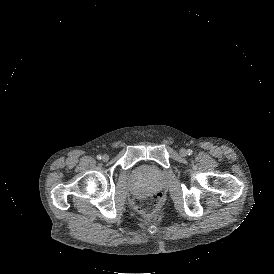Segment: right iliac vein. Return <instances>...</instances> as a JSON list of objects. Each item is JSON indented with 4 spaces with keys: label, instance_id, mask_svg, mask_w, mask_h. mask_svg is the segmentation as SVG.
<instances>
[{
    "label": "right iliac vein",
    "instance_id": "right-iliac-vein-1",
    "mask_svg": "<svg viewBox=\"0 0 274 274\" xmlns=\"http://www.w3.org/2000/svg\"><path fill=\"white\" fill-rule=\"evenodd\" d=\"M102 160L105 161V162H107V161L109 160V155L104 154V155L102 156Z\"/></svg>",
    "mask_w": 274,
    "mask_h": 274
}]
</instances>
